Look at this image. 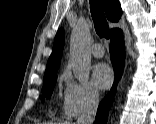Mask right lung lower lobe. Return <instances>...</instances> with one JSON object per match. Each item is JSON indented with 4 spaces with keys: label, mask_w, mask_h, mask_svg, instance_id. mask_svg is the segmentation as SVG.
<instances>
[{
    "label": "right lung lower lobe",
    "mask_w": 156,
    "mask_h": 124,
    "mask_svg": "<svg viewBox=\"0 0 156 124\" xmlns=\"http://www.w3.org/2000/svg\"><path fill=\"white\" fill-rule=\"evenodd\" d=\"M110 55H111V60L115 71V76L117 79L119 76H121L124 68V63H125V47H124L123 33L119 29H116L113 32H111ZM116 83L117 82L115 80L111 91L100 103L95 118V124L107 123L108 113L115 92Z\"/></svg>",
    "instance_id": "right-lung-lower-lobe-1"
}]
</instances>
